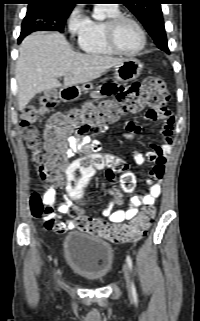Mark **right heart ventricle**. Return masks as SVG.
I'll return each instance as SVG.
<instances>
[{
  "label": "right heart ventricle",
  "instance_id": "obj_1",
  "mask_svg": "<svg viewBox=\"0 0 200 321\" xmlns=\"http://www.w3.org/2000/svg\"><path fill=\"white\" fill-rule=\"evenodd\" d=\"M97 8L104 14L105 19H88L86 27L78 35V46L87 54L114 56L117 53L106 42L105 24L109 18L120 14V9L116 5H99Z\"/></svg>",
  "mask_w": 200,
  "mask_h": 321
}]
</instances>
